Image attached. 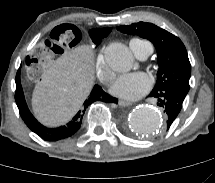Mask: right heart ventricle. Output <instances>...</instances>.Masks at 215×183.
Segmentation results:
<instances>
[{
  "mask_svg": "<svg viewBox=\"0 0 215 183\" xmlns=\"http://www.w3.org/2000/svg\"><path fill=\"white\" fill-rule=\"evenodd\" d=\"M131 42H136V43H145V42H147V41L139 40V39H133V40H131ZM131 42H130V43H131ZM147 43H149V42H147Z\"/></svg>",
  "mask_w": 215,
  "mask_h": 183,
  "instance_id": "right-heart-ventricle-1",
  "label": "right heart ventricle"
}]
</instances>
